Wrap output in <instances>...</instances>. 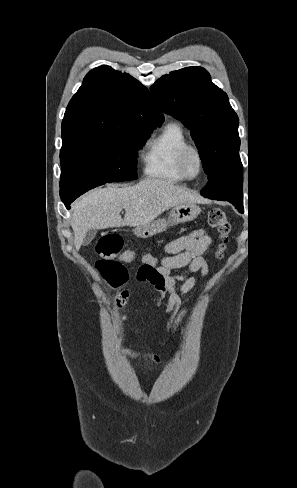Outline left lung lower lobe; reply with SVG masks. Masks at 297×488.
I'll use <instances>...</instances> for the list:
<instances>
[{
	"label": "left lung lower lobe",
	"mask_w": 297,
	"mask_h": 488,
	"mask_svg": "<svg viewBox=\"0 0 297 488\" xmlns=\"http://www.w3.org/2000/svg\"><path fill=\"white\" fill-rule=\"evenodd\" d=\"M240 212H243V208L241 207H236Z\"/></svg>",
	"instance_id": "0a47b994"
}]
</instances>
